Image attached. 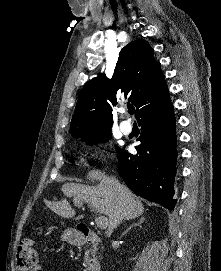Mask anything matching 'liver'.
<instances>
[{
  "mask_svg": "<svg viewBox=\"0 0 221 271\" xmlns=\"http://www.w3.org/2000/svg\"><path fill=\"white\" fill-rule=\"evenodd\" d=\"M89 177L97 179L99 183L95 187H86L80 183H64L62 191L67 197L76 195L79 197V203L87 201L90 207H95L99 213L108 215L109 225L106 231L108 237L113 233V229L117 227L118 223L124 219H135L144 213L145 207L139 197L132 193L126 185L120 183L116 177L107 175L105 171L102 173L100 169H92ZM46 205L62 217H74V219L84 217V215L75 217L76 211L67 199L46 201Z\"/></svg>",
  "mask_w": 221,
  "mask_h": 271,
  "instance_id": "1",
  "label": "liver"
}]
</instances>
